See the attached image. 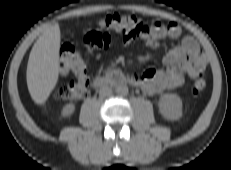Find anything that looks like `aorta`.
Listing matches in <instances>:
<instances>
[{
	"label": "aorta",
	"mask_w": 231,
	"mask_h": 170,
	"mask_svg": "<svg viewBox=\"0 0 231 170\" xmlns=\"http://www.w3.org/2000/svg\"><path fill=\"white\" fill-rule=\"evenodd\" d=\"M115 92L119 96H126L128 95V87L126 85H119L116 87Z\"/></svg>",
	"instance_id": "aorta-1"
}]
</instances>
